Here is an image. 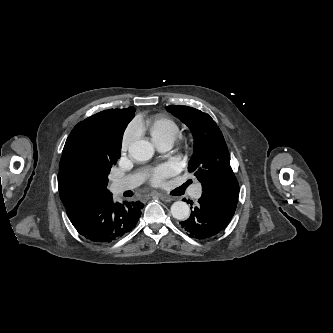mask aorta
Wrapping results in <instances>:
<instances>
[{
  "label": "aorta",
  "instance_id": "aorta-1",
  "mask_svg": "<svg viewBox=\"0 0 333 333\" xmlns=\"http://www.w3.org/2000/svg\"><path fill=\"white\" fill-rule=\"evenodd\" d=\"M129 154L137 161H147L153 157L154 148L149 141L139 140L129 146ZM171 214L175 219L186 220L190 215V208L187 203L176 201L171 206Z\"/></svg>",
  "mask_w": 333,
  "mask_h": 333
}]
</instances>
